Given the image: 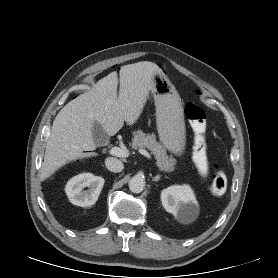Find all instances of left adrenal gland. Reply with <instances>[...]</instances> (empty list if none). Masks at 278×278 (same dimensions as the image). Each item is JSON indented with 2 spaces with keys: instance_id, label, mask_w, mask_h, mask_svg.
Instances as JSON below:
<instances>
[{
  "instance_id": "a2214340",
  "label": "left adrenal gland",
  "mask_w": 278,
  "mask_h": 278,
  "mask_svg": "<svg viewBox=\"0 0 278 278\" xmlns=\"http://www.w3.org/2000/svg\"><path fill=\"white\" fill-rule=\"evenodd\" d=\"M160 178H161V175L159 174V175L153 177L152 180L155 182H158L160 180Z\"/></svg>"
}]
</instances>
